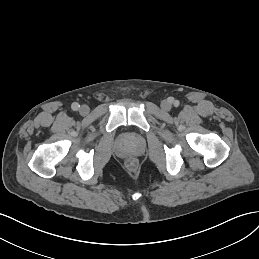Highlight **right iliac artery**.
Returning a JSON list of instances; mask_svg holds the SVG:
<instances>
[{"label":"right iliac artery","mask_w":259,"mask_h":259,"mask_svg":"<svg viewBox=\"0 0 259 259\" xmlns=\"http://www.w3.org/2000/svg\"><path fill=\"white\" fill-rule=\"evenodd\" d=\"M71 107H72V109H73L74 111H77V110L79 109L80 105H79L77 102H74V103L71 105Z\"/></svg>","instance_id":"82829eb1"}]
</instances>
